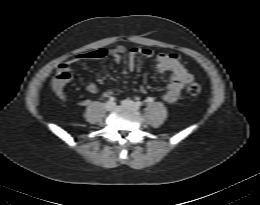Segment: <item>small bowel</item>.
<instances>
[{"instance_id": "c3829d8e", "label": "small bowel", "mask_w": 260, "mask_h": 205, "mask_svg": "<svg viewBox=\"0 0 260 205\" xmlns=\"http://www.w3.org/2000/svg\"><path fill=\"white\" fill-rule=\"evenodd\" d=\"M125 53H127V66L130 71H133L135 69L136 60L139 56H142L144 58H152L154 55L153 51L150 48H128L124 44H119L110 51L100 49L97 51L79 55L75 58L63 62L59 66L51 82L53 93L58 99L62 101L66 100L65 87L73 79V67L79 60L85 58H104L106 56H110L115 62H120L122 60V55ZM93 54H95L96 57H92ZM156 68L159 73H171V81L164 91L163 99L167 103L176 102L184 86L191 82L192 76L183 66L180 57L175 53L158 54L156 56ZM86 89L89 93L92 94L98 92V87L94 82L88 83ZM140 91L145 93L146 87L141 86ZM112 94L113 91L110 89L104 91V95L106 97Z\"/></svg>"}]
</instances>
